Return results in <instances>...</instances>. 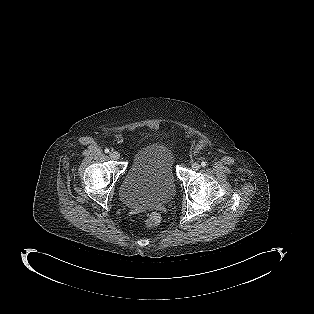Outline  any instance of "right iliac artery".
<instances>
[{
    "instance_id": "obj_1",
    "label": "right iliac artery",
    "mask_w": 314,
    "mask_h": 314,
    "mask_svg": "<svg viewBox=\"0 0 314 314\" xmlns=\"http://www.w3.org/2000/svg\"><path fill=\"white\" fill-rule=\"evenodd\" d=\"M105 153H109V149L108 148L105 149Z\"/></svg>"
}]
</instances>
